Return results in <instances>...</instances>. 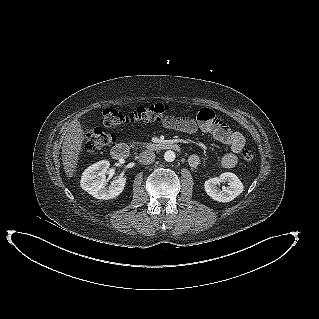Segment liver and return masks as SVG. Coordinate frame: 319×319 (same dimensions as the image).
<instances>
[{
    "label": "liver",
    "mask_w": 319,
    "mask_h": 319,
    "mask_svg": "<svg viewBox=\"0 0 319 319\" xmlns=\"http://www.w3.org/2000/svg\"><path fill=\"white\" fill-rule=\"evenodd\" d=\"M84 139V130L80 122L73 120L62 135V162L68 177H72L75 172Z\"/></svg>",
    "instance_id": "6515ba94"
}]
</instances>
